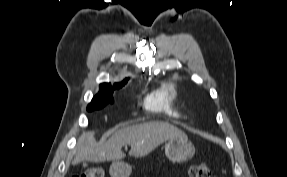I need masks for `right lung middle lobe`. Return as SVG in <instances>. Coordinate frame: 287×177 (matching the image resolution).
Listing matches in <instances>:
<instances>
[{
	"mask_svg": "<svg viewBox=\"0 0 287 177\" xmlns=\"http://www.w3.org/2000/svg\"><path fill=\"white\" fill-rule=\"evenodd\" d=\"M125 85V84H124ZM124 85L116 87H100L99 93L92 99L91 103L88 105L87 110L92 111L95 109H100L104 107L107 103H113L112 92L115 89H119Z\"/></svg>",
	"mask_w": 287,
	"mask_h": 177,
	"instance_id": "1",
	"label": "right lung middle lobe"
}]
</instances>
